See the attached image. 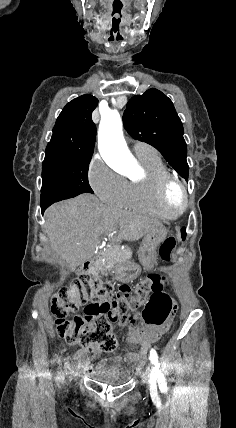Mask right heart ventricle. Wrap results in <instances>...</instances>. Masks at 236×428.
Masks as SVG:
<instances>
[{"instance_id": "1", "label": "right heart ventricle", "mask_w": 236, "mask_h": 428, "mask_svg": "<svg viewBox=\"0 0 236 428\" xmlns=\"http://www.w3.org/2000/svg\"><path fill=\"white\" fill-rule=\"evenodd\" d=\"M134 157L142 168V174L126 181V194L122 207L138 210L164 221L174 219L175 214L162 209L155 197L156 180L161 176L169 175L160 157L151 147L145 152L134 151Z\"/></svg>"}]
</instances>
